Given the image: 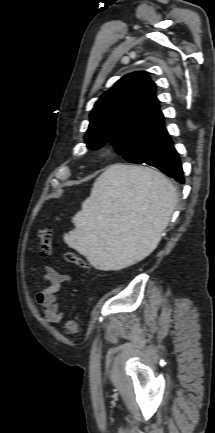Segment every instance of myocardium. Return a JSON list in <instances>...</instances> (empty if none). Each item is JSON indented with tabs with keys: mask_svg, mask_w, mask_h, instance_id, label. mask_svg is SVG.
I'll return each instance as SVG.
<instances>
[{
	"mask_svg": "<svg viewBox=\"0 0 215 433\" xmlns=\"http://www.w3.org/2000/svg\"><path fill=\"white\" fill-rule=\"evenodd\" d=\"M100 153H101L102 156H105V155L108 154V152L106 150H102Z\"/></svg>",
	"mask_w": 215,
	"mask_h": 433,
	"instance_id": "f54148a6",
	"label": "myocardium"
}]
</instances>
